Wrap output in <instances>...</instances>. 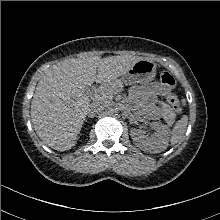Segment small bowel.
<instances>
[{"label": "small bowel", "instance_id": "obj_1", "mask_svg": "<svg viewBox=\"0 0 220 220\" xmlns=\"http://www.w3.org/2000/svg\"><path fill=\"white\" fill-rule=\"evenodd\" d=\"M141 92L150 100L155 101L158 95L166 96V90L158 83H151L141 88Z\"/></svg>", "mask_w": 220, "mask_h": 220}]
</instances>
